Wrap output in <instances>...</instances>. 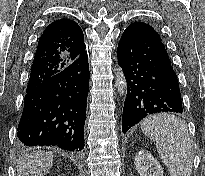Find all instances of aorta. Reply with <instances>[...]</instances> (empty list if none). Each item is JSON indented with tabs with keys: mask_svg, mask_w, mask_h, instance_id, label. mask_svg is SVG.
<instances>
[{
	"mask_svg": "<svg viewBox=\"0 0 205 176\" xmlns=\"http://www.w3.org/2000/svg\"><path fill=\"white\" fill-rule=\"evenodd\" d=\"M115 85L120 95H126L127 83L124 74L120 68H117L116 70Z\"/></svg>",
	"mask_w": 205,
	"mask_h": 176,
	"instance_id": "obj_1",
	"label": "aorta"
}]
</instances>
